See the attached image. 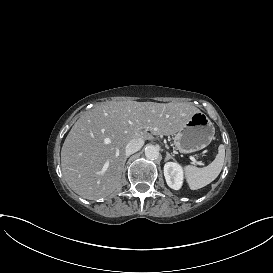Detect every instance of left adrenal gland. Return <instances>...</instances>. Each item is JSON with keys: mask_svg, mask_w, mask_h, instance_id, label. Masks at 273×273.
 Masks as SVG:
<instances>
[{"mask_svg": "<svg viewBox=\"0 0 273 273\" xmlns=\"http://www.w3.org/2000/svg\"><path fill=\"white\" fill-rule=\"evenodd\" d=\"M175 155H171L168 151H166V157L164 158V161H167L169 158L176 160Z\"/></svg>", "mask_w": 273, "mask_h": 273, "instance_id": "a2214340", "label": "left adrenal gland"}]
</instances>
